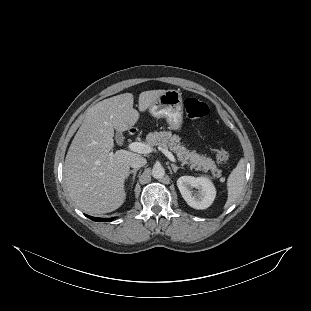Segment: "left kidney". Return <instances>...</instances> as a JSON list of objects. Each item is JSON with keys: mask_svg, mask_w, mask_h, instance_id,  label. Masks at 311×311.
I'll return each mask as SVG.
<instances>
[{"mask_svg": "<svg viewBox=\"0 0 311 311\" xmlns=\"http://www.w3.org/2000/svg\"><path fill=\"white\" fill-rule=\"evenodd\" d=\"M177 186L183 199L194 209L208 208L215 198L214 186L205 178L182 176L177 180Z\"/></svg>", "mask_w": 311, "mask_h": 311, "instance_id": "1", "label": "left kidney"}]
</instances>
